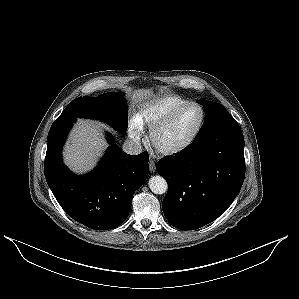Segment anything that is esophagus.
<instances>
[{
  "mask_svg": "<svg viewBox=\"0 0 299 299\" xmlns=\"http://www.w3.org/2000/svg\"><path fill=\"white\" fill-rule=\"evenodd\" d=\"M155 170H156L155 163H154V161L150 160V161H149V171H150L151 173H154Z\"/></svg>",
  "mask_w": 299,
  "mask_h": 299,
  "instance_id": "1",
  "label": "esophagus"
}]
</instances>
